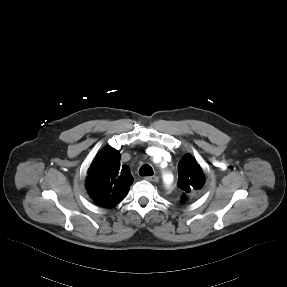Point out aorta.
<instances>
[{
    "instance_id": "obj_1",
    "label": "aorta",
    "mask_w": 287,
    "mask_h": 287,
    "mask_svg": "<svg viewBox=\"0 0 287 287\" xmlns=\"http://www.w3.org/2000/svg\"><path fill=\"white\" fill-rule=\"evenodd\" d=\"M164 180L167 182L168 180L171 181L172 180V176L169 174L164 175Z\"/></svg>"
}]
</instances>
